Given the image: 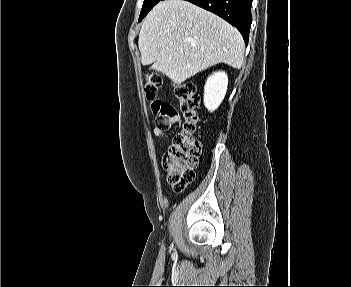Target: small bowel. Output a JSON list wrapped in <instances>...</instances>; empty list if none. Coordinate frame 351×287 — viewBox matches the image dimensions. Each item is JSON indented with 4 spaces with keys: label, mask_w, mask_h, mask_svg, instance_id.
Returning a JSON list of instances; mask_svg holds the SVG:
<instances>
[{
    "label": "small bowel",
    "mask_w": 351,
    "mask_h": 287,
    "mask_svg": "<svg viewBox=\"0 0 351 287\" xmlns=\"http://www.w3.org/2000/svg\"><path fill=\"white\" fill-rule=\"evenodd\" d=\"M180 123V116L176 115L172 119V126H177ZM153 134L157 137H168L169 133L167 131L160 130L158 128L153 129Z\"/></svg>",
    "instance_id": "small-bowel-1"
}]
</instances>
